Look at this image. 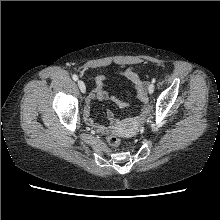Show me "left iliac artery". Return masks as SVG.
Returning <instances> with one entry per match:
<instances>
[{"instance_id":"obj_1","label":"left iliac artery","mask_w":220,"mask_h":220,"mask_svg":"<svg viewBox=\"0 0 220 220\" xmlns=\"http://www.w3.org/2000/svg\"><path fill=\"white\" fill-rule=\"evenodd\" d=\"M155 82H156V79H155V78H153V79H152V83H155Z\"/></svg>"}]
</instances>
